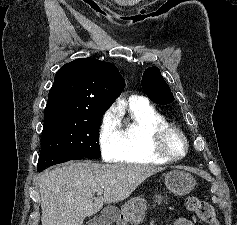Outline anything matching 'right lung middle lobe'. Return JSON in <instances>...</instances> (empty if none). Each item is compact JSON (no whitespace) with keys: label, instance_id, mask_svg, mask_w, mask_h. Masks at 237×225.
I'll list each match as a JSON object with an SVG mask.
<instances>
[{"label":"right lung middle lobe","instance_id":"right-lung-middle-lobe-1","mask_svg":"<svg viewBox=\"0 0 237 225\" xmlns=\"http://www.w3.org/2000/svg\"><path fill=\"white\" fill-rule=\"evenodd\" d=\"M102 117L103 114L89 118L59 116L44 120L41 152L72 153L98 159Z\"/></svg>","mask_w":237,"mask_h":225}]
</instances>
